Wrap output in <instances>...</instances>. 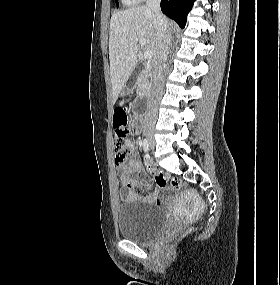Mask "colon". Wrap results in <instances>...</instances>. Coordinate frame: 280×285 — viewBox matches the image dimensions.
I'll return each instance as SVG.
<instances>
[{"label": "colon", "mask_w": 280, "mask_h": 285, "mask_svg": "<svg viewBox=\"0 0 280 285\" xmlns=\"http://www.w3.org/2000/svg\"><path fill=\"white\" fill-rule=\"evenodd\" d=\"M113 122L115 129L116 162L121 164L135 150V142L128 131L129 119L124 108H117L115 110ZM154 179L159 186H170L176 190L182 187L180 180L171 178L163 172H157Z\"/></svg>", "instance_id": "1"}]
</instances>
